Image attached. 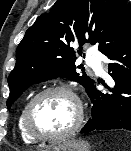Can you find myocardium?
Listing matches in <instances>:
<instances>
[{
    "label": "myocardium",
    "instance_id": "myocardium-1",
    "mask_svg": "<svg viewBox=\"0 0 131 151\" xmlns=\"http://www.w3.org/2000/svg\"><path fill=\"white\" fill-rule=\"evenodd\" d=\"M53 93H62L66 96H68L75 105V119L72 123V125L66 129L64 132L57 134V135H51V136H44L39 135L36 132L33 131L31 124H30V116L32 109L34 105L44 96L53 94ZM84 120V108L81 99L79 96L68 86L66 85H54L46 87L42 90H40L38 93H36L27 103L25 106L22 122H23V128L26 132V134L35 142H59L62 141L68 137H70L72 134H74L81 126L82 122Z\"/></svg>",
    "mask_w": 131,
    "mask_h": 151
}]
</instances>
